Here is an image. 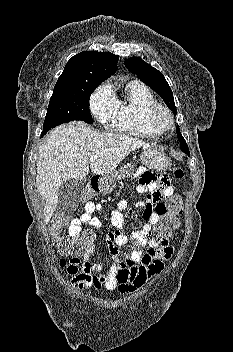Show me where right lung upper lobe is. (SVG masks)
<instances>
[{
    "label": "right lung upper lobe",
    "mask_w": 233,
    "mask_h": 352,
    "mask_svg": "<svg viewBox=\"0 0 233 352\" xmlns=\"http://www.w3.org/2000/svg\"><path fill=\"white\" fill-rule=\"evenodd\" d=\"M119 57L110 52L84 51L73 56L58 78L54 91H73L100 85L117 70Z\"/></svg>",
    "instance_id": "cb5924a9"
}]
</instances>
